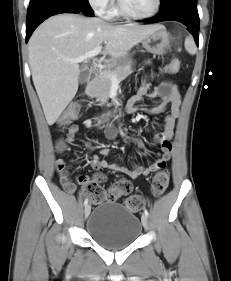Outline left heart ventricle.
<instances>
[{"mask_svg":"<svg viewBox=\"0 0 231 281\" xmlns=\"http://www.w3.org/2000/svg\"><path fill=\"white\" fill-rule=\"evenodd\" d=\"M156 0H123L125 7L139 15L150 13L155 7Z\"/></svg>","mask_w":231,"mask_h":281,"instance_id":"left-heart-ventricle-1","label":"left heart ventricle"}]
</instances>
